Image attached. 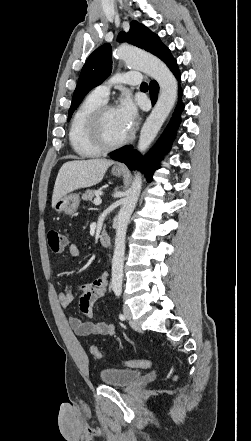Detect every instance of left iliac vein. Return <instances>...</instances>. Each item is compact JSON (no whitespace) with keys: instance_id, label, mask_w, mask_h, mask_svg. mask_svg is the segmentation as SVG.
<instances>
[{"instance_id":"obj_1","label":"left iliac vein","mask_w":251,"mask_h":441,"mask_svg":"<svg viewBox=\"0 0 251 441\" xmlns=\"http://www.w3.org/2000/svg\"><path fill=\"white\" fill-rule=\"evenodd\" d=\"M123 312H124V315H125L126 319L131 322L132 314H131L130 308L127 305H125L123 307ZM131 324H132L133 327H136V325L133 322H131Z\"/></svg>"}]
</instances>
